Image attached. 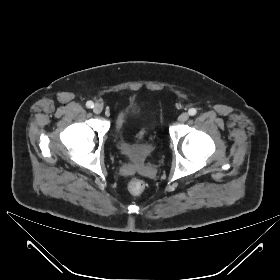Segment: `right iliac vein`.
I'll return each instance as SVG.
<instances>
[{"mask_svg":"<svg viewBox=\"0 0 280 280\" xmlns=\"http://www.w3.org/2000/svg\"><path fill=\"white\" fill-rule=\"evenodd\" d=\"M103 110V107L101 104L97 103L94 105L93 111L95 114H100Z\"/></svg>","mask_w":280,"mask_h":280,"instance_id":"1","label":"right iliac vein"}]
</instances>
